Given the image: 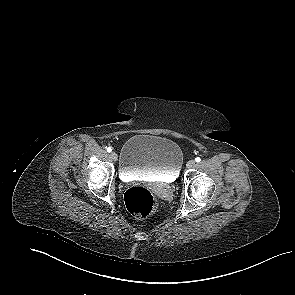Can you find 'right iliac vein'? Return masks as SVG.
Masks as SVG:
<instances>
[{
	"label": "right iliac vein",
	"mask_w": 295,
	"mask_h": 295,
	"mask_svg": "<svg viewBox=\"0 0 295 295\" xmlns=\"http://www.w3.org/2000/svg\"><path fill=\"white\" fill-rule=\"evenodd\" d=\"M110 156H111V158H112L114 161H116V160L118 159V155H117L116 152H112V153L110 154Z\"/></svg>",
	"instance_id": "63e3f726"
}]
</instances>
